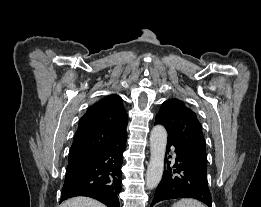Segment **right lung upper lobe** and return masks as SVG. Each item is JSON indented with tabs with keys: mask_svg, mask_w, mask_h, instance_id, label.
<instances>
[{
	"mask_svg": "<svg viewBox=\"0 0 261 207\" xmlns=\"http://www.w3.org/2000/svg\"><path fill=\"white\" fill-rule=\"evenodd\" d=\"M127 123L121 97L112 94L96 102L79 121L69 159L122 144Z\"/></svg>",
	"mask_w": 261,
	"mask_h": 207,
	"instance_id": "1",
	"label": "right lung upper lobe"
}]
</instances>
